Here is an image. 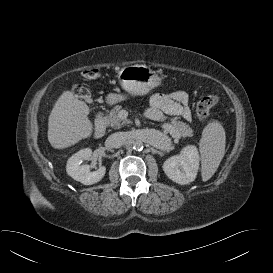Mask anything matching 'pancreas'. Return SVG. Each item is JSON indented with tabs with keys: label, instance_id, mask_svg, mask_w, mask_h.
<instances>
[{
	"label": "pancreas",
	"instance_id": "cf45deb5",
	"mask_svg": "<svg viewBox=\"0 0 273 273\" xmlns=\"http://www.w3.org/2000/svg\"><path fill=\"white\" fill-rule=\"evenodd\" d=\"M121 111V106L114 107L109 115L107 120L109 125L114 129H120L125 125L131 123L127 118H121L119 112ZM165 133H170L174 138L187 137L193 135V130L184 122L172 120L170 123H164L161 125Z\"/></svg>",
	"mask_w": 273,
	"mask_h": 273
}]
</instances>
